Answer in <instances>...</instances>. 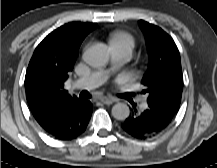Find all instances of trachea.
I'll return each instance as SVG.
<instances>
[{
  "label": "trachea",
  "instance_id": "obj_1",
  "mask_svg": "<svg viewBox=\"0 0 217 168\" xmlns=\"http://www.w3.org/2000/svg\"><path fill=\"white\" fill-rule=\"evenodd\" d=\"M81 98H90V94L87 91H83L80 93Z\"/></svg>",
  "mask_w": 217,
  "mask_h": 168
}]
</instances>
